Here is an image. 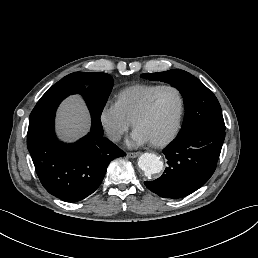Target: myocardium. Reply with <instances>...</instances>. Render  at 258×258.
I'll use <instances>...</instances> for the list:
<instances>
[{"label": "myocardium", "mask_w": 258, "mask_h": 258, "mask_svg": "<svg viewBox=\"0 0 258 258\" xmlns=\"http://www.w3.org/2000/svg\"><path fill=\"white\" fill-rule=\"evenodd\" d=\"M164 89H172V90H174L176 92V94L178 96L179 110H178V116H177L176 125H175L172 133L168 137H166V138L156 139V138H152V137H149V136H144V135H142L140 133V124L148 116L150 108H151V104H152V101H153L155 95L159 91L164 90ZM183 107H184L183 106V98H182V95H181L180 91L177 88H175L172 85H162V86H159L151 95H149V97L147 98L146 103H145L142 111L140 112V114L138 115V117L135 120V122H134L135 134L141 136L144 140H146L149 143L154 144V145L162 146V145H167V144L171 143L175 139V137H176V135H177V133H178V131L180 129L182 115H183Z\"/></svg>", "instance_id": "obj_1"}]
</instances>
